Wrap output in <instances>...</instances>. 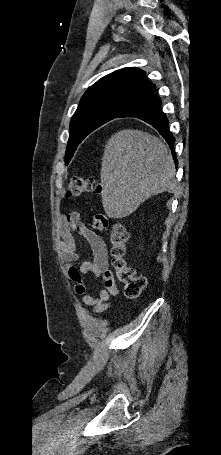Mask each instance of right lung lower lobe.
Segmentation results:
<instances>
[{"instance_id": "right-lung-lower-lobe-1", "label": "right lung lower lobe", "mask_w": 221, "mask_h": 455, "mask_svg": "<svg viewBox=\"0 0 221 455\" xmlns=\"http://www.w3.org/2000/svg\"><path fill=\"white\" fill-rule=\"evenodd\" d=\"M120 117H135L151 124L168 142L172 150L173 158L175 162H177L176 154L174 152L175 139L169 131L168 119L161 111V99L155 92L124 110L117 118Z\"/></svg>"}]
</instances>
